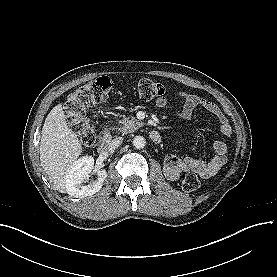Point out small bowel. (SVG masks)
Returning <instances> with one entry per match:
<instances>
[{
    "instance_id": "c3829d8e",
    "label": "small bowel",
    "mask_w": 277,
    "mask_h": 277,
    "mask_svg": "<svg viewBox=\"0 0 277 277\" xmlns=\"http://www.w3.org/2000/svg\"><path fill=\"white\" fill-rule=\"evenodd\" d=\"M185 100L182 111L179 113V118L182 120H188L191 117L192 108L199 105L202 108L214 113H218V108L213 103L208 101L199 102V98L193 95L182 93L179 100ZM157 105L162 108H168V102L165 99L157 100ZM222 132L226 133L229 130V126L226 122L221 125ZM215 150V156L210 162H204L194 158L179 159L175 156H168L166 160V168L168 171L172 170H184L193 171L201 176H209L215 170V168L224 163L226 147L222 142H215L213 145Z\"/></svg>"
}]
</instances>
